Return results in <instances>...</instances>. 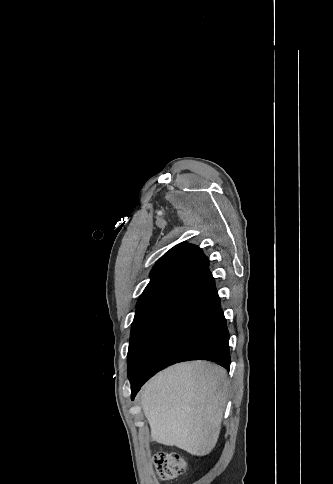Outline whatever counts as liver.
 <instances>
[{"label": "liver", "mask_w": 333, "mask_h": 484, "mask_svg": "<svg viewBox=\"0 0 333 484\" xmlns=\"http://www.w3.org/2000/svg\"><path fill=\"white\" fill-rule=\"evenodd\" d=\"M227 390L226 370L205 361L155 375L140 393L153 440L194 456L210 453L219 438Z\"/></svg>", "instance_id": "6515ba94"}]
</instances>
